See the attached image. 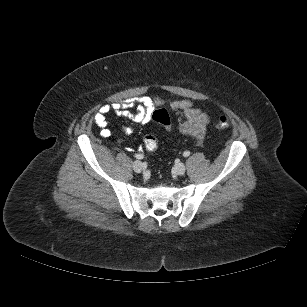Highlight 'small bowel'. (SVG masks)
<instances>
[{
	"mask_svg": "<svg viewBox=\"0 0 307 307\" xmlns=\"http://www.w3.org/2000/svg\"><path fill=\"white\" fill-rule=\"evenodd\" d=\"M159 106H168L179 116L178 130L181 134L190 137L196 143L204 139L210 117L194 106L192 101L186 99L140 96L124 102H115L103 105L95 113L94 122L100 128L101 136L107 138L111 135L107 114L111 111L135 123L146 124L151 120L153 110ZM133 109L135 112L132 111ZM122 131L130 135L133 129L130 126H123Z\"/></svg>",
	"mask_w": 307,
	"mask_h": 307,
	"instance_id": "obj_1",
	"label": "small bowel"
}]
</instances>
